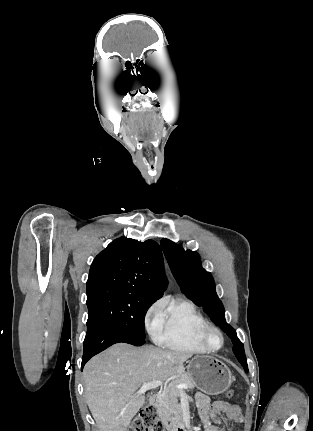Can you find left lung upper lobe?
Returning <instances> with one entry per match:
<instances>
[{
    "label": "left lung upper lobe",
    "instance_id": "obj_1",
    "mask_svg": "<svg viewBox=\"0 0 313 431\" xmlns=\"http://www.w3.org/2000/svg\"><path fill=\"white\" fill-rule=\"evenodd\" d=\"M160 244L182 292L195 304L202 306L212 321L232 339L233 352L245 372H248L244 346L236 331L226 323L224 307L215 292L213 277L202 268L199 254L191 250L185 251L168 239H162Z\"/></svg>",
    "mask_w": 313,
    "mask_h": 431
}]
</instances>
